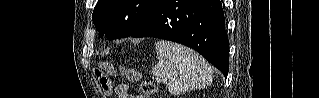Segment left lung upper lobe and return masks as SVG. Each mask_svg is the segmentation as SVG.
Segmentation results:
<instances>
[{
  "label": "left lung upper lobe",
  "mask_w": 319,
  "mask_h": 98,
  "mask_svg": "<svg viewBox=\"0 0 319 98\" xmlns=\"http://www.w3.org/2000/svg\"><path fill=\"white\" fill-rule=\"evenodd\" d=\"M159 1L98 0L93 23L109 40L128 37L145 24Z\"/></svg>",
  "instance_id": "left-lung-upper-lobe-1"
}]
</instances>
